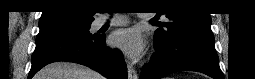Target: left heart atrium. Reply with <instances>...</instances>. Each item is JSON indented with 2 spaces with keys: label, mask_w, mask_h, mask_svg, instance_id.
I'll use <instances>...</instances> for the list:
<instances>
[{
  "label": "left heart atrium",
  "mask_w": 255,
  "mask_h": 79,
  "mask_svg": "<svg viewBox=\"0 0 255 79\" xmlns=\"http://www.w3.org/2000/svg\"><path fill=\"white\" fill-rule=\"evenodd\" d=\"M111 45L124 52L132 59L141 56L145 48V40L135 28H123L114 31L110 37Z\"/></svg>",
  "instance_id": "left-heart-atrium-1"
}]
</instances>
